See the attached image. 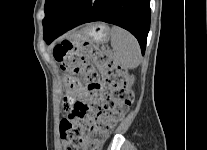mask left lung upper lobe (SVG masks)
Segmentation results:
<instances>
[{"instance_id":"obj_1","label":"left lung upper lobe","mask_w":207,"mask_h":150,"mask_svg":"<svg viewBox=\"0 0 207 150\" xmlns=\"http://www.w3.org/2000/svg\"><path fill=\"white\" fill-rule=\"evenodd\" d=\"M71 1L72 0H46L44 6L45 18L42 21L44 33L55 25Z\"/></svg>"}]
</instances>
